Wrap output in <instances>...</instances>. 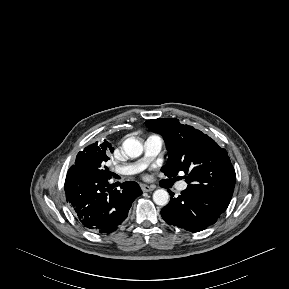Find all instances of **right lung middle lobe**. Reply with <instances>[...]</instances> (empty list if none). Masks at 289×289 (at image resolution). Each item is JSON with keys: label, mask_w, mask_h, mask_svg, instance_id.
Segmentation results:
<instances>
[{"label": "right lung middle lobe", "mask_w": 289, "mask_h": 289, "mask_svg": "<svg viewBox=\"0 0 289 289\" xmlns=\"http://www.w3.org/2000/svg\"><path fill=\"white\" fill-rule=\"evenodd\" d=\"M110 152H113L111 146L108 147L95 142L78 153L75 165L71 168L81 169L97 178L110 179L112 173L106 166Z\"/></svg>", "instance_id": "1"}]
</instances>
